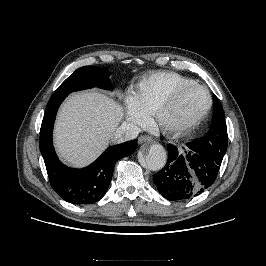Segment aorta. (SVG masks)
Masks as SVG:
<instances>
[{
    "label": "aorta",
    "instance_id": "aorta-1",
    "mask_svg": "<svg viewBox=\"0 0 266 266\" xmlns=\"http://www.w3.org/2000/svg\"><path fill=\"white\" fill-rule=\"evenodd\" d=\"M166 160V150L160 144H152L144 156L145 164L152 171L162 169L166 164Z\"/></svg>",
    "mask_w": 266,
    "mask_h": 266
}]
</instances>
